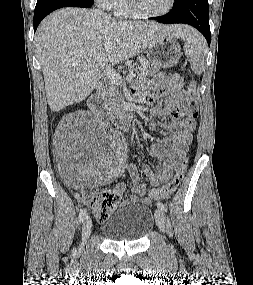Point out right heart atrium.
<instances>
[{
  "instance_id": "d8ad5b80",
  "label": "right heart atrium",
  "mask_w": 253,
  "mask_h": 285,
  "mask_svg": "<svg viewBox=\"0 0 253 285\" xmlns=\"http://www.w3.org/2000/svg\"><path fill=\"white\" fill-rule=\"evenodd\" d=\"M119 0H96L97 4L108 11L114 10Z\"/></svg>"
}]
</instances>
